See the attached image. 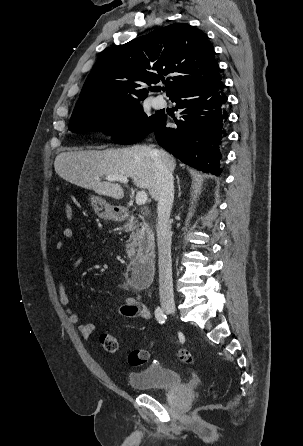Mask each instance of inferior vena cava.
Masks as SVG:
<instances>
[{
	"mask_svg": "<svg viewBox=\"0 0 303 446\" xmlns=\"http://www.w3.org/2000/svg\"><path fill=\"white\" fill-rule=\"evenodd\" d=\"M155 161V177L157 188L156 225L157 244L159 252V295L162 302H173L171 240L172 233L169 224L170 213L174 200V182L172 171L159 157L156 150L152 151Z\"/></svg>",
	"mask_w": 303,
	"mask_h": 446,
	"instance_id": "1",
	"label": "inferior vena cava"
}]
</instances>
